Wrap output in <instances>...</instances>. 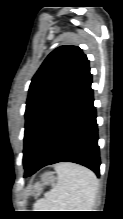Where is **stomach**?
Masks as SVG:
<instances>
[{"mask_svg": "<svg viewBox=\"0 0 123 219\" xmlns=\"http://www.w3.org/2000/svg\"><path fill=\"white\" fill-rule=\"evenodd\" d=\"M57 180V177L53 172H45L41 175V180L37 182L32 190V193L35 197L39 196L43 190V187L46 185H54Z\"/></svg>", "mask_w": 123, "mask_h": 219, "instance_id": "obj_1", "label": "stomach"}]
</instances>
